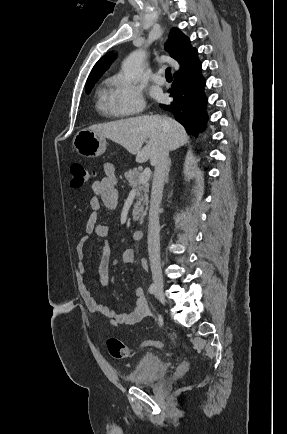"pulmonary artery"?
<instances>
[{"mask_svg":"<svg viewBox=\"0 0 287 434\" xmlns=\"http://www.w3.org/2000/svg\"><path fill=\"white\" fill-rule=\"evenodd\" d=\"M151 78L156 83L162 84L165 82V77L163 76V72L161 70L154 73Z\"/></svg>","mask_w":287,"mask_h":434,"instance_id":"1","label":"pulmonary artery"}]
</instances>
